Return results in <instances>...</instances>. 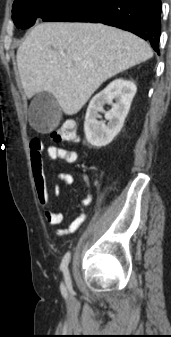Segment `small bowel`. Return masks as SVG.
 I'll return each mask as SVG.
<instances>
[{"label":"small bowel","instance_id":"c3829d8e","mask_svg":"<svg viewBox=\"0 0 171 337\" xmlns=\"http://www.w3.org/2000/svg\"><path fill=\"white\" fill-rule=\"evenodd\" d=\"M46 158L49 161L61 160L66 163L72 164L78 160V153L74 149L50 145L46 148ZM31 169L37 199L40 205L44 208V217L46 221L52 226L61 225L64 221V215L62 212L56 210L51 202L44 170L43 145L41 141L37 138L31 140ZM82 178L86 185L90 186L88 176L86 174H83ZM57 180L59 184L53 188V192L55 195H59L63 187L71 185L74 181V178L70 173L59 172L57 174ZM91 202L92 195L88 193L76 205V208L78 210L77 216L70 222L68 227L56 230V234L58 236H65L76 232L84 223L86 219L85 210Z\"/></svg>","mask_w":171,"mask_h":337}]
</instances>
